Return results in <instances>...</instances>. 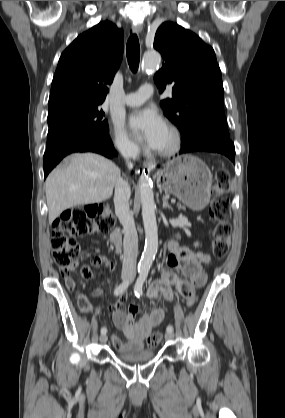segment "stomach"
Wrapping results in <instances>:
<instances>
[{"mask_svg":"<svg viewBox=\"0 0 285 418\" xmlns=\"http://www.w3.org/2000/svg\"><path fill=\"white\" fill-rule=\"evenodd\" d=\"M161 190L173 194L192 210L204 209L211 197L212 174L196 156L185 154L173 158L157 172Z\"/></svg>","mask_w":285,"mask_h":418,"instance_id":"1","label":"stomach"}]
</instances>
